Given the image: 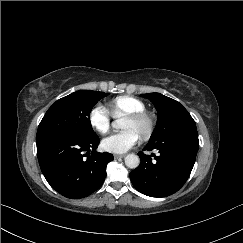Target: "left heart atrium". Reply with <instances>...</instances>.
<instances>
[{
	"label": "left heart atrium",
	"mask_w": 243,
	"mask_h": 243,
	"mask_svg": "<svg viewBox=\"0 0 243 243\" xmlns=\"http://www.w3.org/2000/svg\"><path fill=\"white\" fill-rule=\"evenodd\" d=\"M138 138V135L132 130L113 133L103 139L102 147L105 151L121 154L134 147Z\"/></svg>",
	"instance_id": "1"
}]
</instances>
